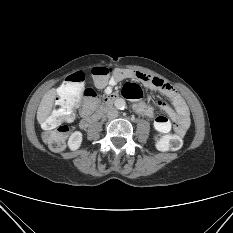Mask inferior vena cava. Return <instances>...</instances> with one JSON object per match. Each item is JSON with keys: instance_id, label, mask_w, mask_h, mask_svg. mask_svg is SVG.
I'll use <instances>...</instances> for the list:
<instances>
[{"instance_id": "1", "label": "inferior vena cava", "mask_w": 233, "mask_h": 233, "mask_svg": "<svg viewBox=\"0 0 233 233\" xmlns=\"http://www.w3.org/2000/svg\"><path fill=\"white\" fill-rule=\"evenodd\" d=\"M107 116H108L109 119H114V118L118 117V111H117V109L111 108L108 111Z\"/></svg>"}]
</instances>
